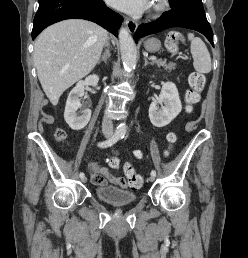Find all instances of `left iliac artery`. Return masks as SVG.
<instances>
[{"label":"left iliac artery","instance_id":"44dca946","mask_svg":"<svg viewBox=\"0 0 248 258\" xmlns=\"http://www.w3.org/2000/svg\"><path fill=\"white\" fill-rule=\"evenodd\" d=\"M121 138H124V135H122ZM151 175H152V176H156V171H155V170H152V171H151Z\"/></svg>","mask_w":248,"mask_h":258}]
</instances>
